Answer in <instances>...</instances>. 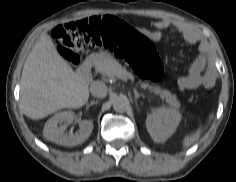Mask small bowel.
<instances>
[{
    "label": "small bowel",
    "instance_id": "small-bowel-1",
    "mask_svg": "<svg viewBox=\"0 0 236 182\" xmlns=\"http://www.w3.org/2000/svg\"><path fill=\"white\" fill-rule=\"evenodd\" d=\"M167 30L172 33H179L189 44L193 45L199 41V35L194 29L170 19L159 20L155 23L153 30L142 29L141 32L150 40L158 42ZM213 83V71L210 66H207V48L202 45L200 55L192 63L188 72L178 80V87L182 92H187L196 90L201 86L211 87Z\"/></svg>",
    "mask_w": 236,
    "mask_h": 182
}]
</instances>
